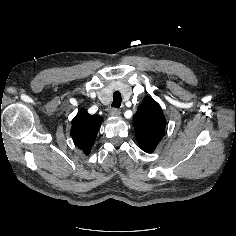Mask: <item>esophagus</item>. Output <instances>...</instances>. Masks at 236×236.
Returning a JSON list of instances; mask_svg holds the SVG:
<instances>
[{
    "mask_svg": "<svg viewBox=\"0 0 236 236\" xmlns=\"http://www.w3.org/2000/svg\"><path fill=\"white\" fill-rule=\"evenodd\" d=\"M121 114V111H120V109H118V108H112L111 110H110V115L111 116H119Z\"/></svg>",
    "mask_w": 236,
    "mask_h": 236,
    "instance_id": "esophagus-1",
    "label": "esophagus"
}]
</instances>
